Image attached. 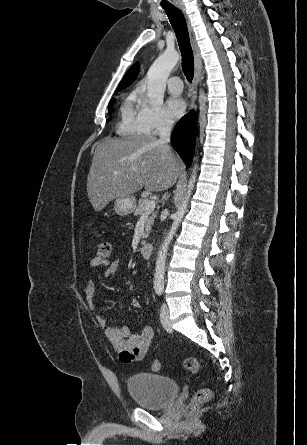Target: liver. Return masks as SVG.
Masks as SVG:
<instances>
[{
    "label": "liver",
    "instance_id": "obj_1",
    "mask_svg": "<svg viewBox=\"0 0 307 445\" xmlns=\"http://www.w3.org/2000/svg\"><path fill=\"white\" fill-rule=\"evenodd\" d=\"M180 168L181 160L169 144H161L154 134L131 138L107 136L94 150L87 194L94 210H102L113 198L131 196L142 186L146 190L169 188L176 182Z\"/></svg>",
    "mask_w": 307,
    "mask_h": 445
}]
</instances>
